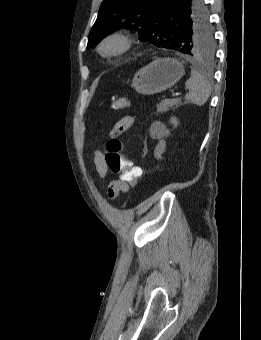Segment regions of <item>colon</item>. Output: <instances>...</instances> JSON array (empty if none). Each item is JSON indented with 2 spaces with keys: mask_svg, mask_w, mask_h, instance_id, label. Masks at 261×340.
Wrapping results in <instances>:
<instances>
[{
  "mask_svg": "<svg viewBox=\"0 0 261 340\" xmlns=\"http://www.w3.org/2000/svg\"><path fill=\"white\" fill-rule=\"evenodd\" d=\"M129 105V101L124 98H114L112 107L122 109ZM123 143L117 138H112L107 142L105 161L111 171L121 175V179L131 187L138 185L141 169L132 165L131 161L122 155Z\"/></svg>",
  "mask_w": 261,
  "mask_h": 340,
  "instance_id": "obj_1",
  "label": "colon"
}]
</instances>
